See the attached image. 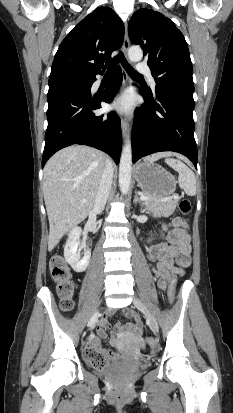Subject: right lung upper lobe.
Wrapping results in <instances>:
<instances>
[{"label":"right lung upper lobe","instance_id":"obj_1","mask_svg":"<svg viewBox=\"0 0 233 413\" xmlns=\"http://www.w3.org/2000/svg\"><path fill=\"white\" fill-rule=\"evenodd\" d=\"M124 25L109 7H99L78 23L61 42L49 82L104 72V62L123 44Z\"/></svg>","mask_w":233,"mask_h":413}]
</instances>
